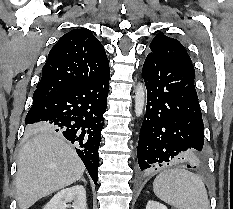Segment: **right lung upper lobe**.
I'll return each mask as SVG.
<instances>
[{
	"label": "right lung upper lobe",
	"mask_w": 233,
	"mask_h": 209,
	"mask_svg": "<svg viewBox=\"0 0 233 209\" xmlns=\"http://www.w3.org/2000/svg\"><path fill=\"white\" fill-rule=\"evenodd\" d=\"M108 64L103 45L91 31L82 28L64 34L49 52L33 103L98 77Z\"/></svg>",
	"instance_id": "right-lung-upper-lobe-1"
}]
</instances>
